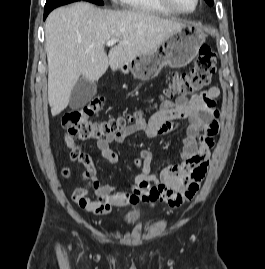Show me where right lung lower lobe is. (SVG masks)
<instances>
[{
    "instance_id": "right-lung-lower-lobe-1",
    "label": "right lung lower lobe",
    "mask_w": 265,
    "mask_h": 269,
    "mask_svg": "<svg viewBox=\"0 0 265 269\" xmlns=\"http://www.w3.org/2000/svg\"><path fill=\"white\" fill-rule=\"evenodd\" d=\"M81 0H47L44 8V19L56 7Z\"/></svg>"
}]
</instances>
